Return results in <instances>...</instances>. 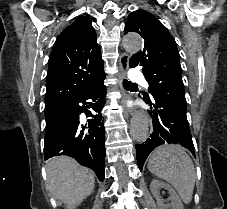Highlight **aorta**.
I'll return each mask as SVG.
<instances>
[{
    "label": "aorta",
    "mask_w": 227,
    "mask_h": 209,
    "mask_svg": "<svg viewBox=\"0 0 227 209\" xmlns=\"http://www.w3.org/2000/svg\"><path fill=\"white\" fill-rule=\"evenodd\" d=\"M123 46L130 54H136L142 49L143 41L137 34H129L123 39ZM130 134L134 141L144 142L149 134V123L142 113L137 114L131 123Z\"/></svg>",
    "instance_id": "aorta-1"
}]
</instances>
